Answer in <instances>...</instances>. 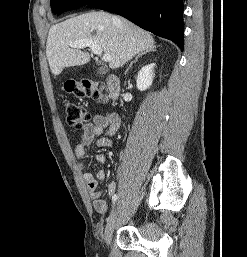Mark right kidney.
Segmentation results:
<instances>
[{
    "label": "right kidney",
    "mask_w": 247,
    "mask_h": 257,
    "mask_svg": "<svg viewBox=\"0 0 247 257\" xmlns=\"http://www.w3.org/2000/svg\"><path fill=\"white\" fill-rule=\"evenodd\" d=\"M154 67H155V64L151 63L149 65L142 67L138 72L136 84H137V88L140 91H144L151 86L153 77H154V73H153Z\"/></svg>",
    "instance_id": "right-kidney-1"
}]
</instances>
